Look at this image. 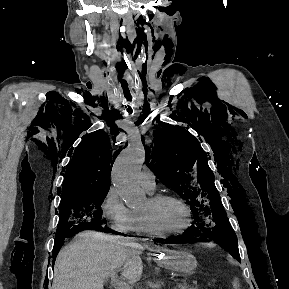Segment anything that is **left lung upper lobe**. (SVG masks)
I'll use <instances>...</instances> for the list:
<instances>
[{
	"label": "left lung upper lobe",
	"mask_w": 289,
	"mask_h": 289,
	"mask_svg": "<svg viewBox=\"0 0 289 289\" xmlns=\"http://www.w3.org/2000/svg\"><path fill=\"white\" fill-rule=\"evenodd\" d=\"M146 149V163L166 186L187 200L195 217L188 231L208 229L214 241L240 259L236 234L228 223L214 175L198 140L179 126L160 124Z\"/></svg>",
	"instance_id": "obj_1"
}]
</instances>
